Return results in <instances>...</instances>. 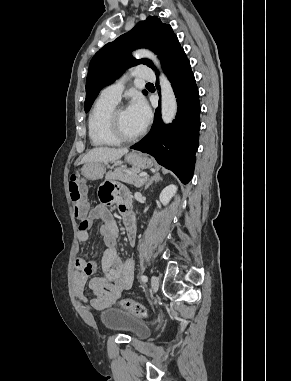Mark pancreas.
I'll return each mask as SVG.
<instances>
[{
    "mask_svg": "<svg viewBox=\"0 0 291 381\" xmlns=\"http://www.w3.org/2000/svg\"><path fill=\"white\" fill-rule=\"evenodd\" d=\"M141 172L137 169L127 170L122 167L115 168L114 171L106 173V180H119L125 183L133 184L136 187H140L146 180L144 177H140Z\"/></svg>",
    "mask_w": 291,
    "mask_h": 381,
    "instance_id": "1",
    "label": "pancreas"
}]
</instances>
